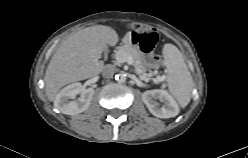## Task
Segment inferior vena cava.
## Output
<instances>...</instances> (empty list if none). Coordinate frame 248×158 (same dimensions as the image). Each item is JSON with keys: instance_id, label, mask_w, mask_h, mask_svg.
Returning a JSON list of instances; mask_svg holds the SVG:
<instances>
[{"instance_id": "602c4592", "label": "inferior vena cava", "mask_w": 248, "mask_h": 158, "mask_svg": "<svg viewBox=\"0 0 248 158\" xmlns=\"http://www.w3.org/2000/svg\"><path fill=\"white\" fill-rule=\"evenodd\" d=\"M114 73H115V66L111 64L106 65L102 70V76L107 79L112 78Z\"/></svg>"}]
</instances>
